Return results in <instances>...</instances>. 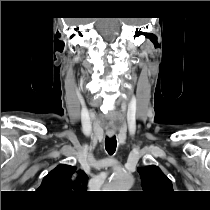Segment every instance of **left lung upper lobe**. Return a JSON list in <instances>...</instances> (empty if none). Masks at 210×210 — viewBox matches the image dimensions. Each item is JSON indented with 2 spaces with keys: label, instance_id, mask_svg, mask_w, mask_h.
<instances>
[{
  "label": "left lung upper lobe",
  "instance_id": "obj_1",
  "mask_svg": "<svg viewBox=\"0 0 210 210\" xmlns=\"http://www.w3.org/2000/svg\"><path fill=\"white\" fill-rule=\"evenodd\" d=\"M138 172L145 193H166L173 190L171 181L158 166L150 165L139 168Z\"/></svg>",
  "mask_w": 210,
  "mask_h": 210
}]
</instances>
